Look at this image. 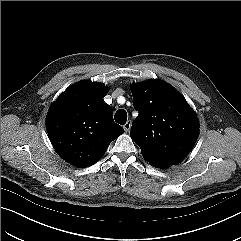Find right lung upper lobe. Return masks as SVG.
Masks as SVG:
<instances>
[{
  "label": "right lung upper lobe",
  "instance_id": "cb5924a9",
  "mask_svg": "<svg viewBox=\"0 0 241 241\" xmlns=\"http://www.w3.org/2000/svg\"><path fill=\"white\" fill-rule=\"evenodd\" d=\"M108 88L80 81L52 104L46 119L50 141L57 153L77 167L97 163L124 129L113 121L112 107L104 103Z\"/></svg>",
  "mask_w": 241,
  "mask_h": 241
}]
</instances>
